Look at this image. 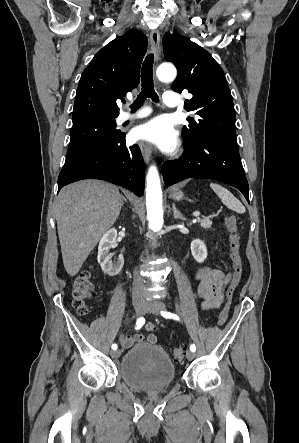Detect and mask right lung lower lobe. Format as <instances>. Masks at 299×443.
<instances>
[{"label": "right lung lower lobe", "instance_id": "98d812e1", "mask_svg": "<svg viewBox=\"0 0 299 443\" xmlns=\"http://www.w3.org/2000/svg\"><path fill=\"white\" fill-rule=\"evenodd\" d=\"M145 164L137 145L126 147L125 134L95 145L65 162L58 177L59 190L83 179H101L144 193Z\"/></svg>", "mask_w": 299, "mask_h": 443}]
</instances>
